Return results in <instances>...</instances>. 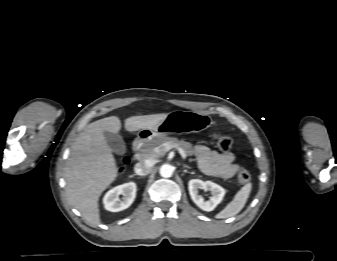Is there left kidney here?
Returning a JSON list of instances; mask_svg holds the SVG:
<instances>
[{"mask_svg":"<svg viewBox=\"0 0 337 261\" xmlns=\"http://www.w3.org/2000/svg\"><path fill=\"white\" fill-rule=\"evenodd\" d=\"M189 193L193 202L204 211H212L222 201L225 195V189L211 181H202L200 179H192L188 183ZM210 191L211 197L205 201L199 195L198 190Z\"/></svg>","mask_w":337,"mask_h":261,"instance_id":"left-kidney-1","label":"left kidney"}]
</instances>
